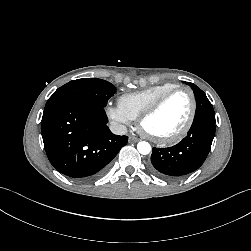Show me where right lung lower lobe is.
<instances>
[{"label": "right lung lower lobe", "mask_w": 251, "mask_h": 251, "mask_svg": "<svg viewBox=\"0 0 251 251\" xmlns=\"http://www.w3.org/2000/svg\"><path fill=\"white\" fill-rule=\"evenodd\" d=\"M107 122L104 108L91 103L65 101L45 107L41 131L50 163L78 181L103 175L128 141L114 135Z\"/></svg>", "instance_id": "98d812e1"}]
</instances>
